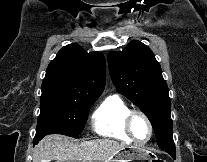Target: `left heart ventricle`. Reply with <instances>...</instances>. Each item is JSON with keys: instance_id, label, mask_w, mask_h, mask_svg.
<instances>
[{"instance_id": "left-heart-ventricle-1", "label": "left heart ventricle", "mask_w": 207, "mask_h": 162, "mask_svg": "<svg viewBox=\"0 0 207 162\" xmlns=\"http://www.w3.org/2000/svg\"><path fill=\"white\" fill-rule=\"evenodd\" d=\"M132 132L136 139L144 140L149 135V129L145 120L140 117L136 116L131 124Z\"/></svg>"}]
</instances>
